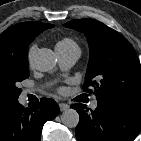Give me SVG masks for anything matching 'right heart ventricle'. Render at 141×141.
<instances>
[{"mask_svg":"<svg viewBox=\"0 0 141 141\" xmlns=\"http://www.w3.org/2000/svg\"><path fill=\"white\" fill-rule=\"evenodd\" d=\"M56 50L58 51H79L80 52V47L75 39L71 37H64L57 42Z\"/></svg>","mask_w":141,"mask_h":141,"instance_id":"obj_1","label":"right heart ventricle"}]
</instances>
